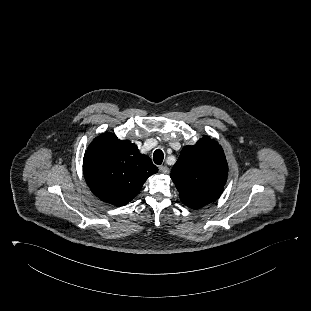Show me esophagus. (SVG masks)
<instances>
[{
	"mask_svg": "<svg viewBox=\"0 0 311 311\" xmlns=\"http://www.w3.org/2000/svg\"><path fill=\"white\" fill-rule=\"evenodd\" d=\"M159 171L163 174H168L170 172L169 168L167 166H159Z\"/></svg>",
	"mask_w": 311,
	"mask_h": 311,
	"instance_id": "1",
	"label": "esophagus"
}]
</instances>
